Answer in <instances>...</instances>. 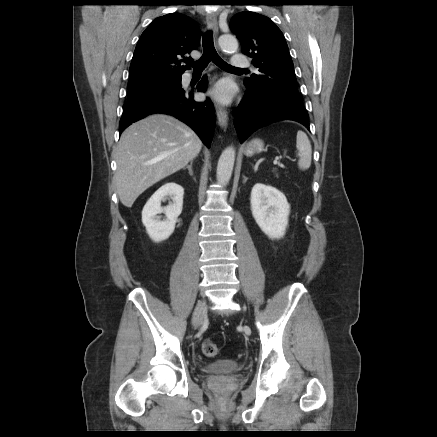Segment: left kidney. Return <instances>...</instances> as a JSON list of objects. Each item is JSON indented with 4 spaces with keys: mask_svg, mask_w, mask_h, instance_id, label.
Masks as SVG:
<instances>
[{
    "mask_svg": "<svg viewBox=\"0 0 437 437\" xmlns=\"http://www.w3.org/2000/svg\"><path fill=\"white\" fill-rule=\"evenodd\" d=\"M251 211L260 229L271 239H280L288 226L290 205L276 188L257 183L251 191Z\"/></svg>",
    "mask_w": 437,
    "mask_h": 437,
    "instance_id": "1",
    "label": "left kidney"
}]
</instances>
